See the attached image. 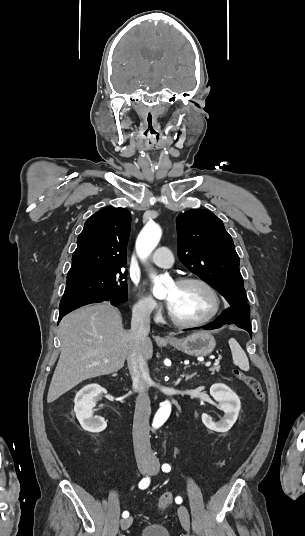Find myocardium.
I'll return each instance as SVG.
<instances>
[{"instance_id": "myocardium-1", "label": "myocardium", "mask_w": 305, "mask_h": 536, "mask_svg": "<svg viewBox=\"0 0 305 536\" xmlns=\"http://www.w3.org/2000/svg\"><path fill=\"white\" fill-rule=\"evenodd\" d=\"M176 284L181 285V286L189 285V284H199V285H202V286L206 287L215 296L216 308H215L214 312L210 316L205 318V319H202V320H188V319H185V318L179 316L178 314H176L169 307L168 308V315H169L170 319L174 323H176L178 325H181V326H184V327H189V328L202 327V326L208 325L211 322H213L222 313V311L224 309V306H225L224 298H223L221 292L212 283H210L209 281H207V280H205L203 278H200V277H183V278L179 279Z\"/></svg>"}]
</instances>
